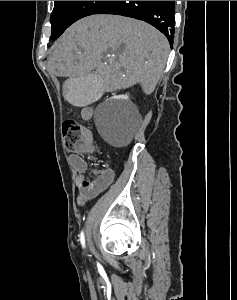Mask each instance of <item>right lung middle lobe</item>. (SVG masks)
<instances>
[{
	"mask_svg": "<svg viewBox=\"0 0 237 300\" xmlns=\"http://www.w3.org/2000/svg\"><path fill=\"white\" fill-rule=\"evenodd\" d=\"M51 14L52 34L50 39L55 40L71 24L77 20L94 14L106 1H54Z\"/></svg>",
	"mask_w": 237,
	"mask_h": 300,
	"instance_id": "obj_1",
	"label": "right lung middle lobe"
}]
</instances>
